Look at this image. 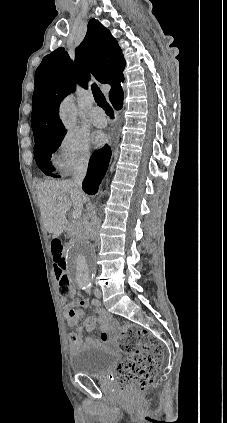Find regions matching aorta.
Wrapping results in <instances>:
<instances>
[{"label":"aorta","instance_id":"obj_1","mask_svg":"<svg viewBox=\"0 0 227 423\" xmlns=\"http://www.w3.org/2000/svg\"><path fill=\"white\" fill-rule=\"evenodd\" d=\"M59 116L68 131H73L77 123L74 100L67 97L60 105ZM97 266L96 252L92 245L83 242L70 248L67 254V275L79 287L91 284Z\"/></svg>","mask_w":227,"mask_h":423}]
</instances>
